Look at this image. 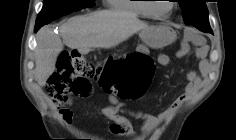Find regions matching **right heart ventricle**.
<instances>
[{
  "instance_id": "obj_1",
  "label": "right heart ventricle",
  "mask_w": 236,
  "mask_h": 140,
  "mask_svg": "<svg viewBox=\"0 0 236 140\" xmlns=\"http://www.w3.org/2000/svg\"><path fill=\"white\" fill-rule=\"evenodd\" d=\"M142 1L145 0H110L109 5L111 9L115 11L130 13L142 17L151 16L147 4Z\"/></svg>"
}]
</instances>
